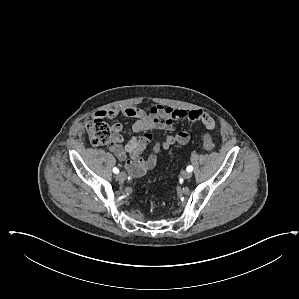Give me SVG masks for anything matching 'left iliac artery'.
<instances>
[{
    "instance_id": "obj_1",
    "label": "left iliac artery",
    "mask_w": 299,
    "mask_h": 299,
    "mask_svg": "<svg viewBox=\"0 0 299 299\" xmlns=\"http://www.w3.org/2000/svg\"><path fill=\"white\" fill-rule=\"evenodd\" d=\"M188 172H191L193 170V167L191 165H189L186 169Z\"/></svg>"
}]
</instances>
